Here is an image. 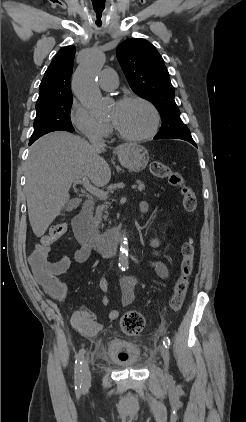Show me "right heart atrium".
Instances as JSON below:
<instances>
[{"mask_svg":"<svg viewBox=\"0 0 246 422\" xmlns=\"http://www.w3.org/2000/svg\"><path fill=\"white\" fill-rule=\"evenodd\" d=\"M70 120L75 129L90 140L103 139L110 133L107 123L94 118L83 105L76 101L71 107Z\"/></svg>","mask_w":246,"mask_h":422,"instance_id":"1","label":"right heart atrium"}]
</instances>
